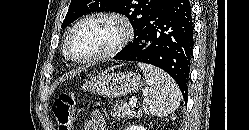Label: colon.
Returning a JSON list of instances; mask_svg holds the SVG:
<instances>
[{
    "label": "colon",
    "mask_w": 249,
    "mask_h": 130,
    "mask_svg": "<svg viewBox=\"0 0 249 130\" xmlns=\"http://www.w3.org/2000/svg\"><path fill=\"white\" fill-rule=\"evenodd\" d=\"M75 104L73 93H63L54 101L52 111L59 130H73Z\"/></svg>",
    "instance_id": "5ec220e1"
}]
</instances>
